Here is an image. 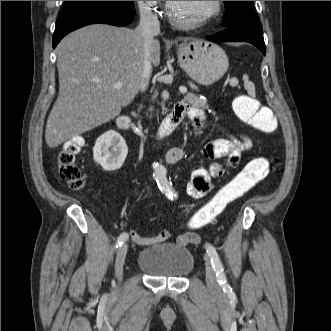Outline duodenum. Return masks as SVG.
I'll list each match as a JSON object with an SVG mask.
<instances>
[{
    "mask_svg": "<svg viewBox=\"0 0 331 331\" xmlns=\"http://www.w3.org/2000/svg\"><path fill=\"white\" fill-rule=\"evenodd\" d=\"M184 117V112L179 106H175L169 115L162 122L156 134V142L159 143L166 139L173 130L178 126ZM116 124L121 129H126L129 125V119L125 115H120L116 118Z\"/></svg>",
    "mask_w": 331,
    "mask_h": 331,
    "instance_id": "obj_1",
    "label": "duodenum"
}]
</instances>
